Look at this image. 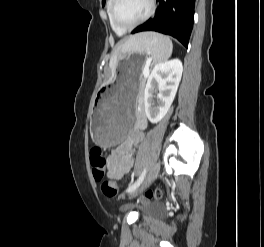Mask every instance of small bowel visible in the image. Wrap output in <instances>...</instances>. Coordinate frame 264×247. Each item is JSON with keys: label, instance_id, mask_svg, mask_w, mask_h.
Instances as JSON below:
<instances>
[{"label": "small bowel", "instance_id": "c3829d8e", "mask_svg": "<svg viewBox=\"0 0 264 247\" xmlns=\"http://www.w3.org/2000/svg\"><path fill=\"white\" fill-rule=\"evenodd\" d=\"M146 126V118L140 115L126 139L109 155L107 177L110 180L118 181L131 170L134 148L143 140V130Z\"/></svg>", "mask_w": 264, "mask_h": 247}]
</instances>
